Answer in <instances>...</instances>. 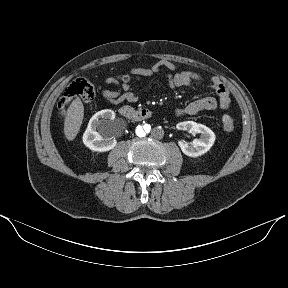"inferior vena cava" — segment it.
I'll return each mask as SVG.
<instances>
[{"instance_id":"1","label":"inferior vena cava","mask_w":288,"mask_h":288,"mask_svg":"<svg viewBox=\"0 0 288 288\" xmlns=\"http://www.w3.org/2000/svg\"><path fill=\"white\" fill-rule=\"evenodd\" d=\"M150 136H151V138L154 139V140H160V139H162L163 136H164V131H163V129L160 128V127H154V128H152L151 131H150Z\"/></svg>"}]
</instances>
